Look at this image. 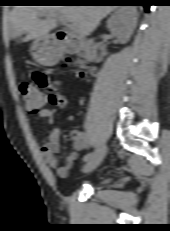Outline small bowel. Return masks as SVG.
Wrapping results in <instances>:
<instances>
[{
    "instance_id": "obj_1",
    "label": "small bowel",
    "mask_w": 170,
    "mask_h": 231,
    "mask_svg": "<svg viewBox=\"0 0 170 231\" xmlns=\"http://www.w3.org/2000/svg\"><path fill=\"white\" fill-rule=\"evenodd\" d=\"M32 78L38 88L45 92L48 102L58 109L65 108L67 101L65 97L60 93V90L56 84H54L49 76L43 71H34ZM56 110L48 106H43L39 113H37L38 119H47L50 124L56 123ZM61 130L58 126H55L49 135L43 140L40 151L45 164L52 169H55L59 176H67L69 169L73 165L74 161L78 158L79 152L83 149H88L90 141L88 135L83 131L75 132L73 135L74 151L69 155L62 158L60 156L61 144H60ZM64 163L62 166L61 163Z\"/></svg>"
}]
</instances>
